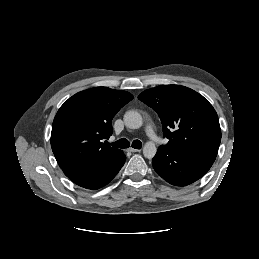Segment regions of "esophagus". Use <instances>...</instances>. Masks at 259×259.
Here are the masks:
<instances>
[{
	"instance_id": "esophagus-1",
	"label": "esophagus",
	"mask_w": 259,
	"mask_h": 259,
	"mask_svg": "<svg viewBox=\"0 0 259 259\" xmlns=\"http://www.w3.org/2000/svg\"><path fill=\"white\" fill-rule=\"evenodd\" d=\"M130 152H140L141 151V149H135V148H129L128 149Z\"/></svg>"
}]
</instances>
